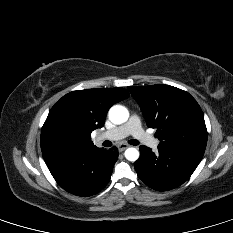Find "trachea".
Returning a JSON list of instances; mask_svg holds the SVG:
<instances>
[{"mask_svg":"<svg viewBox=\"0 0 233 233\" xmlns=\"http://www.w3.org/2000/svg\"><path fill=\"white\" fill-rule=\"evenodd\" d=\"M129 144H131V145H138L139 143H138L137 140L131 139V140H129ZM103 145L105 147H110V146H112V143L110 141L106 140V141H104Z\"/></svg>","mask_w":233,"mask_h":233,"instance_id":"obj_1","label":"trachea"}]
</instances>
